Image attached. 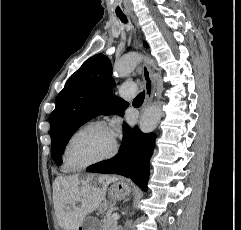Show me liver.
Returning <instances> with one entry per match:
<instances>
[{"mask_svg": "<svg viewBox=\"0 0 241 230\" xmlns=\"http://www.w3.org/2000/svg\"><path fill=\"white\" fill-rule=\"evenodd\" d=\"M93 177L91 175L88 181L80 182L76 175L59 176L53 182L55 210L63 230H78L85 217L104 201L107 186L118 180V177L110 175L98 176L94 181Z\"/></svg>", "mask_w": 241, "mask_h": 230, "instance_id": "obj_1", "label": "liver"}]
</instances>
